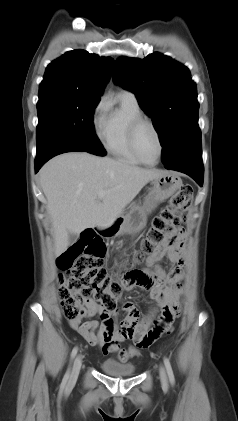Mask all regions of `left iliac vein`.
<instances>
[{
  "label": "left iliac vein",
  "instance_id": "4c4485c4",
  "mask_svg": "<svg viewBox=\"0 0 238 421\" xmlns=\"http://www.w3.org/2000/svg\"><path fill=\"white\" fill-rule=\"evenodd\" d=\"M160 379L163 385L168 384V377L164 366H160Z\"/></svg>",
  "mask_w": 238,
  "mask_h": 421
}]
</instances>
